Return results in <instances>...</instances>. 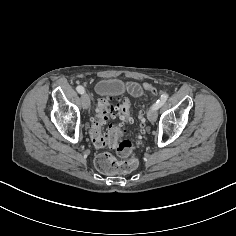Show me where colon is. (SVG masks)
<instances>
[{
	"instance_id": "obj_1",
	"label": "colon",
	"mask_w": 236,
	"mask_h": 236,
	"mask_svg": "<svg viewBox=\"0 0 236 236\" xmlns=\"http://www.w3.org/2000/svg\"><path fill=\"white\" fill-rule=\"evenodd\" d=\"M137 89L154 94L158 92V89L150 83H144L142 86L137 85ZM116 114L121 117L123 123L112 125L108 133H104V125ZM139 119L143 126L146 121L144 109L140 110ZM132 123L133 117L128 99L105 97L98 100L95 114L92 118L91 140L97 148L109 147L114 149L123 159L122 161H117L109 153H100L95 159V164L102 173H129L137 168L138 161L134 157L135 144L131 139L125 137L124 124L130 125Z\"/></svg>"
}]
</instances>
